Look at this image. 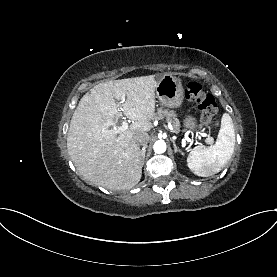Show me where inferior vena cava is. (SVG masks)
<instances>
[{"label":"inferior vena cava","instance_id":"1","mask_svg":"<svg viewBox=\"0 0 277 277\" xmlns=\"http://www.w3.org/2000/svg\"><path fill=\"white\" fill-rule=\"evenodd\" d=\"M149 135L146 132L137 133L134 136V140L138 145L147 146V143L149 142Z\"/></svg>","mask_w":277,"mask_h":277}]
</instances>
